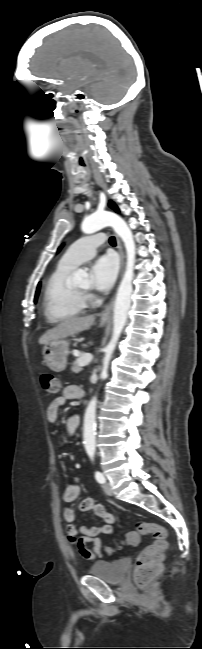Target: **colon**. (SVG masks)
<instances>
[{"label": "colon", "instance_id": "obj_1", "mask_svg": "<svg viewBox=\"0 0 202 649\" xmlns=\"http://www.w3.org/2000/svg\"><path fill=\"white\" fill-rule=\"evenodd\" d=\"M41 386L46 393L57 394L61 388V382L58 376L53 373L45 372L41 375ZM112 520V517H108ZM140 535H152L154 543L143 549L136 557L135 562V580L138 585L144 586L155 576H157L163 563V552L168 547L167 531L159 524L142 521L137 523L136 529L125 535V543L134 544L138 541ZM111 552V548L107 549Z\"/></svg>", "mask_w": 202, "mask_h": 649}]
</instances>
